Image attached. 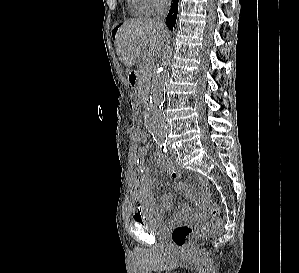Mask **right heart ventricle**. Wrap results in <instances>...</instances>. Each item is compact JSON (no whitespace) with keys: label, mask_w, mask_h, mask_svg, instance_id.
Here are the masks:
<instances>
[{"label":"right heart ventricle","mask_w":299,"mask_h":273,"mask_svg":"<svg viewBox=\"0 0 299 273\" xmlns=\"http://www.w3.org/2000/svg\"><path fill=\"white\" fill-rule=\"evenodd\" d=\"M130 6L134 14L147 15V13L141 8L137 0H130Z\"/></svg>","instance_id":"right-heart-ventricle-1"}]
</instances>
